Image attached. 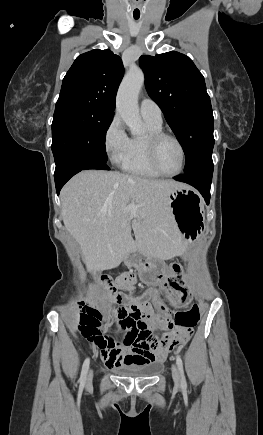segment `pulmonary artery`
<instances>
[{"label":"pulmonary artery","mask_w":263,"mask_h":435,"mask_svg":"<svg viewBox=\"0 0 263 435\" xmlns=\"http://www.w3.org/2000/svg\"><path fill=\"white\" fill-rule=\"evenodd\" d=\"M140 113L143 118L162 123V111L150 98H144L140 103Z\"/></svg>","instance_id":"1"}]
</instances>
